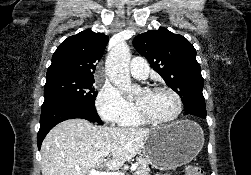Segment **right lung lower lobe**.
<instances>
[{"mask_svg": "<svg viewBox=\"0 0 251 175\" xmlns=\"http://www.w3.org/2000/svg\"><path fill=\"white\" fill-rule=\"evenodd\" d=\"M73 118L103 124L94 104H84L65 98L45 99L41 107L40 129L37 135L38 148L40 149L43 139L56 124Z\"/></svg>", "mask_w": 251, "mask_h": 175, "instance_id": "right-lung-lower-lobe-1", "label": "right lung lower lobe"}]
</instances>
